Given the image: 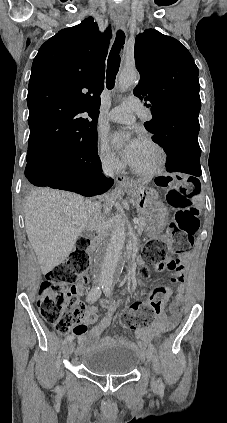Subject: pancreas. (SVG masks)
Returning <instances> with one entry per match:
<instances>
[{
    "mask_svg": "<svg viewBox=\"0 0 227 423\" xmlns=\"http://www.w3.org/2000/svg\"><path fill=\"white\" fill-rule=\"evenodd\" d=\"M138 223L135 227V229H137L138 233H141V231H143V229H145V227H147V223H146V217H144V215H138ZM105 227H108V225H105Z\"/></svg>",
    "mask_w": 227,
    "mask_h": 423,
    "instance_id": "obj_1",
    "label": "pancreas"
}]
</instances>
